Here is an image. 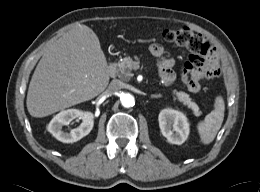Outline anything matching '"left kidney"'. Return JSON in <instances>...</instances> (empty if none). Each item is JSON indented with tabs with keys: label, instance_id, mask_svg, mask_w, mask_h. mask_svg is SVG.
I'll return each mask as SVG.
<instances>
[{
	"label": "left kidney",
	"instance_id": "obj_1",
	"mask_svg": "<svg viewBox=\"0 0 260 192\" xmlns=\"http://www.w3.org/2000/svg\"><path fill=\"white\" fill-rule=\"evenodd\" d=\"M161 133L172 144L181 145L189 135V123L186 116L174 109H163L158 117Z\"/></svg>",
	"mask_w": 260,
	"mask_h": 192
}]
</instances>
